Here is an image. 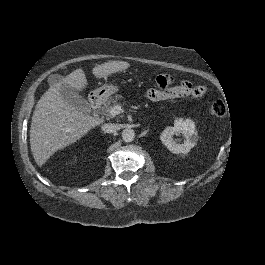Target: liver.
I'll return each mask as SVG.
<instances>
[{
	"label": "liver",
	"mask_w": 265,
	"mask_h": 265,
	"mask_svg": "<svg viewBox=\"0 0 265 265\" xmlns=\"http://www.w3.org/2000/svg\"><path fill=\"white\" fill-rule=\"evenodd\" d=\"M129 67L130 64L125 61H109L95 66L92 73L96 78H104ZM63 84L83 90L87 85L84 71L76 69L62 82L50 86L35 106L30 128V147L39 167L56 151L76 142L91 128L103 122V119L84 114L65 102L60 95Z\"/></svg>",
	"instance_id": "obj_1"
}]
</instances>
